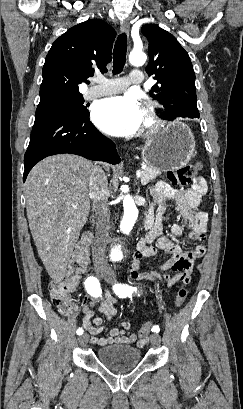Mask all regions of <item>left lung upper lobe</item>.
Segmentation results:
<instances>
[{
	"mask_svg": "<svg viewBox=\"0 0 243 409\" xmlns=\"http://www.w3.org/2000/svg\"><path fill=\"white\" fill-rule=\"evenodd\" d=\"M142 34L149 41L146 72L157 80L150 95L165 108L161 117L170 120L173 114H199L195 74L188 53L172 34L158 25H144Z\"/></svg>",
	"mask_w": 243,
	"mask_h": 409,
	"instance_id": "left-lung-upper-lobe-1",
	"label": "left lung upper lobe"
}]
</instances>
